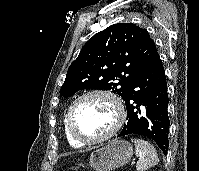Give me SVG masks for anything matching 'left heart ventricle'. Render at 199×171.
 <instances>
[{
  "label": "left heart ventricle",
  "mask_w": 199,
  "mask_h": 171,
  "mask_svg": "<svg viewBox=\"0 0 199 171\" xmlns=\"http://www.w3.org/2000/svg\"><path fill=\"white\" fill-rule=\"evenodd\" d=\"M116 112L110 100L101 96L88 97L76 106L73 124L83 137L94 138L106 134L115 124Z\"/></svg>",
  "instance_id": "left-heart-ventricle-1"
}]
</instances>
